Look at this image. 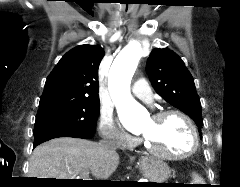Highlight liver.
<instances>
[{
    "mask_svg": "<svg viewBox=\"0 0 240 187\" xmlns=\"http://www.w3.org/2000/svg\"><path fill=\"white\" fill-rule=\"evenodd\" d=\"M119 164V155L106 151L100 143L78 138H56L36 147L29 164V178L74 179L91 172L107 180Z\"/></svg>",
    "mask_w": 240,
    "mask_h": 187,
    "instance_id": "liver-1",
    "label": "liver"
}]
</instances>
